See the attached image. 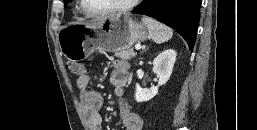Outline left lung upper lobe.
<instances>
[{"label":"left lung upper lobe","instance_id":"left-lung-upper-lobe-1","mask_svg":"<svg viewBox=\"0 0 257 130\" xmlns=\"http://www.w3.org/2000/svg\"><path fill=\"white\" fill-rule=\"evenodd\" d=\"M70 0H64V4H68Z\"/></svg>","mask_w":257,"mask_h":130}]
</instances>
